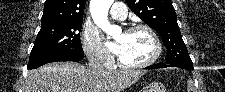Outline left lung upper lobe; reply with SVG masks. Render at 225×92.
I'll list each match as a JSON object with an SVG mask.
<instances>
[{
	"instance_id": "1",
	"label": "left lung upper lobe",
	"mask_w": 225,
	"mask_h": 92,
	"mask_svg": "<svg viewBox=\"0 0 225 92\" xmlns=\"http://www.w3.org/2000/svg\"><path fill=\"white\" fill-rule=\"evenodd\" d=\"M130 9L161 37L167 63H192L171 0H125Z\"/></svg>"
}]
</instances>
